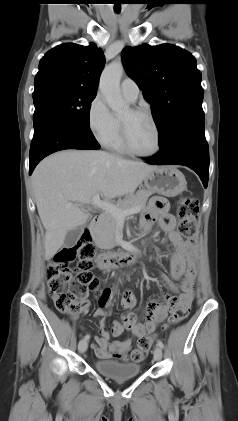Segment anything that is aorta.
Returning a JSON list of instances; mask_svg holds the SVG:
<instances>
[{
    "label": "aorta",
    "mask_w": 238,
    "mask_h": 421,
    "mask_svg": "<svg viewBox=\"0 0 238 421\" xmlns=\"http://www.w3.org/2000/svg\"><path fill=\"white\" fill-rule=\"evenodd\" d=\"M123 72L122 62L115 60L105 67L100 77L99 89L109 107L115 112L128 108V104L123 100L120 91V80Z\"/></svg>",
    "instance_id": "aorta-1"
}]
</instances>
